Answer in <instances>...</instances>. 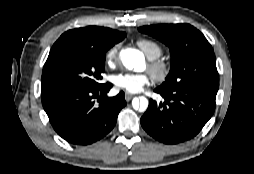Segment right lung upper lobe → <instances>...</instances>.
Segmentation results:
<instances>
[{
	"label": "right lung upper lobe",
	"mask_w": 254,
	"mask_h": 174,
	"mask_svg": "<svg viewBox=\"0 0 254 174\" xmlns=\"http://www.w3.org/2000/svg\"><path fill=\"white\" fill-rule=\"evenodd\" d=\"M126 34L105 27L89 26L85 28L72 29L64 34L58 40L72 39L86 43L93 48L105 49L112 47L124 39Z\"/></svg>",
	"instance_id": "cb5924a9"
}]
</instances>
